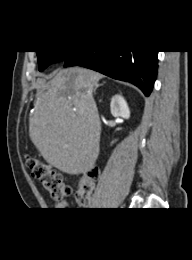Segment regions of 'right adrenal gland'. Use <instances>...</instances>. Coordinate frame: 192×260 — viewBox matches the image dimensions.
Wrapping results in <instances>:
<instances>
[{"instance_id": "right-adrenal-gland-1", "label": "right adrenal gland", "mask_w": 192, "mask_h": 260, "mask_svg": "<svg viewBox=\"0 0 192 260\" xmlns=\"http://www.w3.org/2000/svg\"><path fill=\"white\" fill-rule=\"evenodd\" d=\"M102 85H103V84H98V83L95 84V87H94V94L96 93L97 88L100 87V86H102Z\"/></svg>"}]
</instances>
